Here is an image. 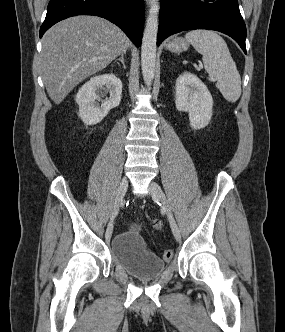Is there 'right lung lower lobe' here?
Masks as SVG:
<instances>
[{"mask_svg": "<svg viewBox=\"0 0 285 332\" xmlns=\"http://www.w3.org/2000/svg\"><path fill=\"white\" fill-rule=\"evenodd\" d=\"M75 15H95L120 27L139 47L143 24V0H50L40 38L55 23Z\"/></svg>", "mask_w": 285, "mask_h": 332, "instance_id": "obj_1", "label": "right lung lower lobe"}]
</instances>
